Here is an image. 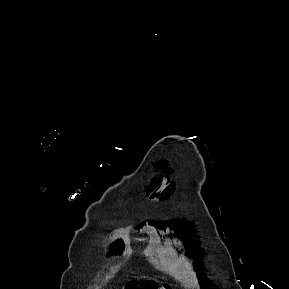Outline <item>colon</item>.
Segmentation results:
<instances>
[{
    "mask_svg": "<svg viewBox=\"0 0 289 289\" xmlns=\"http://www.w3.org/2000/svg\"><path fill=\"white\" fill-rule=\"evenodd\" d=\"M168 287L165 285L164 288L159 287L156 283L145 281L141 283L140 285L131 283L128 284L126 289H167Z\"/></svg>",
    "mask_w": 289,
    "mask_h": 289,
    "instance_id": "obj_1",
    "label": "colon"
}]
</instances>
